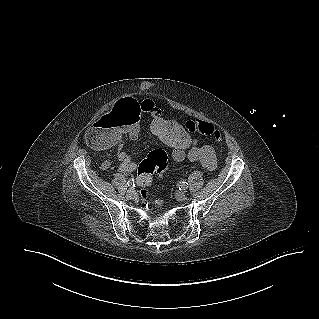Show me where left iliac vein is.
<instances>
[{
    "instance_id": "left-iliac-vein-1",
    "label": "left iliac vein",
    "mask_w": 319,
    "mask_h": 319,
    "mask_svg": "<svg viewBox=\"0 0 319 319\" xmlns=\"http://www.w3.org/2000/svg\"><path fill=\"white\" fill-rule=\"evenodd\" d=\"M175 198L178 201H185L187 199V195L185 194V192L178 191L175 193Z\"/></svg>"
}]
</instances>
